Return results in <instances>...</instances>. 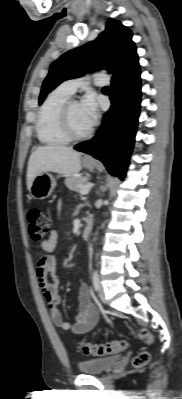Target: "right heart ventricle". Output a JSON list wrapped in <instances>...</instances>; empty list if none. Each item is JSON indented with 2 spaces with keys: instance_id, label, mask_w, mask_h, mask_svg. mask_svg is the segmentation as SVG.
I'll return each mask as SVG.
<instances>
[{
  "instance_id": "obj_1",
  "label": "right heart ventricle",
  "mask_w": 182,
  "mask_h": 399,
  "mask_svg": "<svg viewBox=\"0 0 182 399\" xmlns=\"http://www.w3.org/2000/svg\"><path fill=\"white\" fill-rule=\"evenodd\" d=\"M70 97L71 94L58 87L44 100L36 121V132L41 143L57 146L69 142L61 130L59 117L63 105Z\"/></svg>"
}]
</instances>
